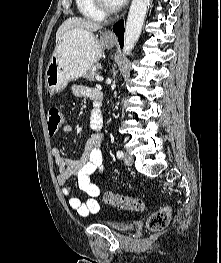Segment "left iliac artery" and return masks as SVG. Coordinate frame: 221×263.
<instances>
[{
  "instance_id": "obj_1",
  "label": "left iliac artery",
  "mask_w": 221,
  "mask_h": 263,
  "mask_svg": "<svg viewBox=\"0 0 221 263\" xmlns=\"http://www.w3.org/2000/svg\"><path fill=\"white\" fill-rule=\"evenodd\" d=\"M116 155H117V157H118L119 159H122L123 156H124V154H123V152H122L121 150H118L117 153H116Z\"/></svg>"
}]
</instances>
